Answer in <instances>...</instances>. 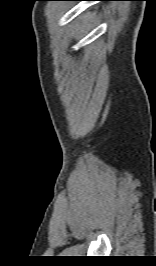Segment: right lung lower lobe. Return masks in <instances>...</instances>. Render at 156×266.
Masks as SVG:
<instances>
[{"mask_svg": "<svg viewBox=\"0 0 156 266\" xmlns=\"http://www.w3.org/2000/svg\"><path fill=\"white\" fill-rule=\"evenodd\" d=\"M67 1H82V0H67Z\"/></svg>", "mask_w": 156, "mask_h": 266, "instance_id": "right-lung-lower-lobe-1", "label": "right lung lower lobe"}]
</instances>
